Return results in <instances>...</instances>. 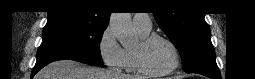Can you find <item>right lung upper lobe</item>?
I'll return each mask as SVG.
<instances>
[{
	"label": "right lung upper lobe",
	"mask_w": 255,
	"mask_h": 79,
	"mask_svg": "<svg viewBox=\"0 0 255 79\" xmlns=\"http://www.w3.org/2000/svg\"><path fill=\"white\" fill-rule=\"evenodd\" d=\"M48 12V22L65 21L107 27L110 12H101L105 5L99 0H61Z\"/></svg>",
	"instance_id": "right-lung-upper-lobe-1"
}]
</instances>
